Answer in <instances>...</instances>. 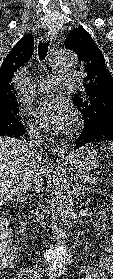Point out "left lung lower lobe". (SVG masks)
Returning <instances> with one entry per match:
<instances>
[{"label":"left lung lower lobe","instance_id":"0a47b994","mask_svg":"<svg viewBox=\"0 0 113 279\" xmlns=\"http://www.w3.org/2000/svg\"><path fill=\"white\" fill-rule=\"evenodd\" d=\"M84 118V128L76 146L80 147L91 142L113 140V114L98 112L93 120H87L82 108H79Z\"/></svg>","mask_w":113,"mask_h":279}]
</instances>
